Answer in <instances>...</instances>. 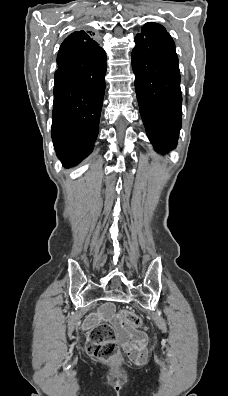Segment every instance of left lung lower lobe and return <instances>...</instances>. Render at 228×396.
Instances as JSON below:
<instances>
[{
  "label": "left lung lower lobe",
  "instance_id": "left-lung-lower-lobe-1",
  "mask_svg": "<svg viewBox=\"0 0 228 396\" xmlns=\"http://www.w3.org/2000/svg\"><path fill=\"white\" fill-rule=\"evenodd\" d=\"M132 68L140 114L158 152L177 145L182 125L180 71L175 43L163 26L137 34Z\"/></svg>",
  "mask_w": 228,
  "mask_h": 396
}]
</instances>
